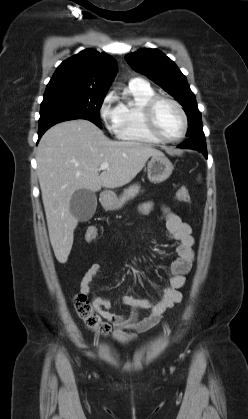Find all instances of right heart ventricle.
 I'll list each match as a JSON object with an SVG mask.
<instances>
[{
	"label": "right heart ventricle",
	"mask_w": 248,
	"mask_h": 419,
	"mask_svg": "<svg viewBox=\"0 0 248 419\" xmlns=\"http://www.w3.org/2000/svg\"><path fill=\"white\" fill-rule=\"evenodd\" d=\"M153 96L155 92L148 84L127 86L124 98L118 104L119 125L116 134L120 139L147 144L158 143L147 133L142 119L143 106Z\"/></svg>",
	"instance_id": "right-heart-ventricle-1"
}]
</instances>
